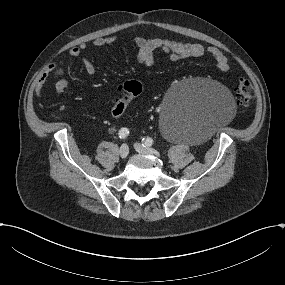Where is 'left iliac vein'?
<instances>
[{
    "label": "left iliac vein",
    "mask_w": 285,
    "mask_h": 285,
    "mask_svg": "<svg viewBox=\"0 0 285 285\" xmlns=\"http://www.w3.org/2000/svg\"><path fill=\"white\" fill-rule=\"evenodd\" d=\"M135 149L142 154H149V155H155L157 154L156 151L152 148L143 146V144L140 143H136L135 144Z\"/></svg>",
    "instance_id": "left-iliac-vein-1"
}]
</instances>
